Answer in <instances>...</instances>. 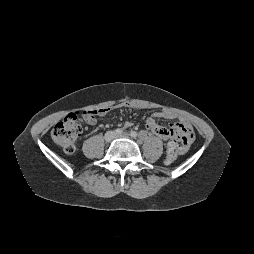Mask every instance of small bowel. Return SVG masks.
I'll use <instances>...</instances> for the list:
<instances>
[{
	"label": "small bowel",
	"instance_id": "1",
	"mask_svg": "<svg viewBox=\"0 0 254 254\" xmlns=\"http://www.w3.org/2000/svg\"><path fill=\"white\" fill-rule=\"evenodd\" d=\"M130 107V105H125ZM108 112V109H99L96 116L104 115ZM96 116H89L87 112L84 114V120L90 124L94 125L96 123ZM175 115L167 110H162L153 114V116L145 120V126L148 130L154 133L157 137L164 141H176L180 145L181 154H184L191 142L193 141L194 133L189 124L185 121H180L178 123H173L169 128L163 127L156 123V119H173ZM126 127L131 126L130 122L125 123ZM180 128H185V132H179Z\"/></svg>",
	"mask_w": 254,
	"mask_h": 254
}]
</instances>
